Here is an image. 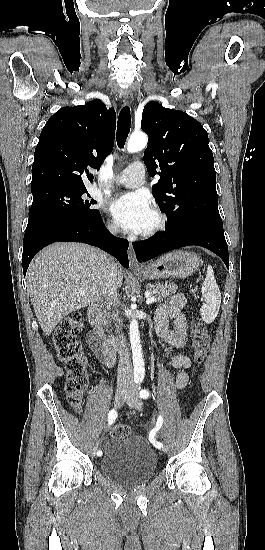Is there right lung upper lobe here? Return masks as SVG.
<instances>
[{
    "mask_svg": "<svg viewBox=\"0 0 265 550\" xmlns=\"http://www.w3.org/2000/svg\"><path fill=\"white\" fill-rule=\"evenodd\" d=\"M116 114L99 99L63 107L50 117L39 137L31 189L61 186L86 189L88 168L99 169L114 145Z\"/></svg>",
    "mask_w": 265,
    "mask_h": 550,
    "instance_id": "obj_1",
    "label": "right lung upper lobe"
}]
</instances>
